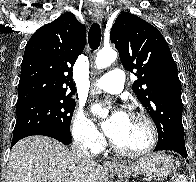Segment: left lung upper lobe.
Instances as JSON below:
<instances>
[{"mask_svg":"<svg viewBox=\"0 0 196 182\" xmlns=\"http://www.w3.org/2000/svg\"><path fill=\"white\" fill-rule=\"evenodd\" d=\"M126 70L136 69L133 92L151 115L157 146L185 145L181 86L175 61L157 28L131 13H121L110 33Z\"/></svg>","mask_w":196,"mask_h":182,"instance_id":"5c2ea615","label":"left lung upper lobe"}]
</instances>
